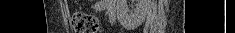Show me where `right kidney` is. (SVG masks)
<instances>
[{
    "label": "right kidney",
    "mask_w": 235,
    "mask_h": 33,
    "mask_svg": "<svg viewBox=\"0 0 235 33\" xmlns=\"http://www.w3.org/2000/svg\"><path fill=\"white\" fill-rule=\"evenodd\" d=\"M136 3L131 5V10L127 6V0H120V5L122 10L120 12V18L123 21H133L135 18L142 20L145 18L147 13V8L149 5V0H132ZM134 6V8H133Z\"/></svg>",
    "instance_id": "1"
}]
</instances>
